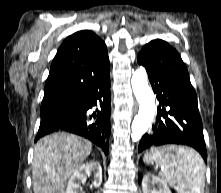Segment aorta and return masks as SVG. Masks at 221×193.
<instances>
[{"label": "aorta", "mask_w": 221, "mask_h": 193, "mask_svg": "<svg viewBox=\"0 0 221 193\" xmlns=\"http://www.w3.org/2000/svg\"><path fill=\"white\" fill-rule=\"evenodd\" d=\"M131 85L139 102V111L133 120L131 133V139L137 141L153 122L156 111L155 95L148 86L147 73L142 66L133 72Z\"/></svg>", "instance_id": "obj_1"}]
</instances>
